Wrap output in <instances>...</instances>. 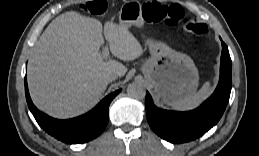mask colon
I'll list each match as a JSON object with an SVG mask.
<instances>
[{"label": "colon", "mask_w": 259, "mask_h": 156, "mask_svg": "<svg viewBox=\"0 0 259 156\" xmlns=\"http://www.w3.org/2000/svg\"><path fill=\"white\" fill-rule=\"evenodd\" d=\"M107 8L108 4L105 0L91 1L82 6L84 12L94 16L103 15ZM145 17L150 22L158 21L160 19V11L157 6L146 8ZM185 29L196 36H203L208 31L207 26L198 21L186 24Z\"/></svg>", "instance_id": "5ec220e1"}]
</instances>
